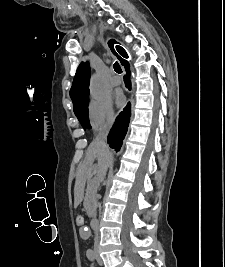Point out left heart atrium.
I'll list each match as a JSON object with an SVG mask.
<instances>
[{
  "label": "left heart atrium",
  "instance_id": "39dd6f15",
  "mask_svg": "<svg viewBox=\"0 0 225 267\" xmlns=\"http://www.w3.org/2000/svg\"><path fill=\"white\" fill-rule=\"evenodd\" d=\"M117 101H118V104H119V105H122V104H123V101H124V99H123V97H122V96H118V98H117Z\"/></svg>",
  "mask_w": 225,
  "mask_h": 267
}]
</instances>
